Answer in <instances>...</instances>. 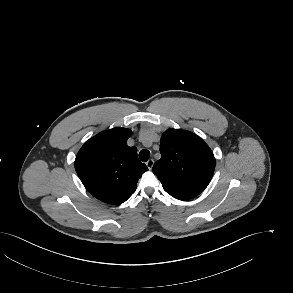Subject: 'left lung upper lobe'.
I'll return each instance as SVG.
<instances>
[{"instance_id":"left-lung-upper-lobe-1","label":"left lung upper lobe","mask_w":293,"mask_h":293,"mask_svg":"<svg viewBox=\"0 0 293 293\" xmlns=\"http://www.w3.org/2000/svg\"><path fill=\"white\" fill-rule=\"evenodd\" d=\"M161 159L153 172L164 190L179 200L196 197L208 186L215 169L209 146L196 134L168 129L160 141Z\"/></svg>"}]
</instances>
